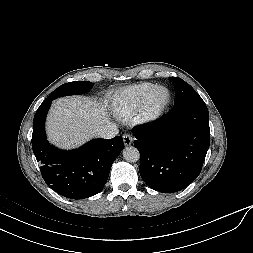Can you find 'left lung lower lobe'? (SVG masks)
<instances>
[{"instance_id": "0a47b994", "label": "left lung lower lobe", "mask_w": 253, "mask_h": 253, "mask_svg": "<svg viewBox=\"0 0 253 253\" xmlns=\"http://www.w3.org/2000/svg\"><path fill=\"white\" fill-rule=\"evenodd\" d=\"M132 132L141 156L139 172L150 188L178 192L200 174L210 145L209 113L201 97Z\"/></svg>"}]
</instances>
